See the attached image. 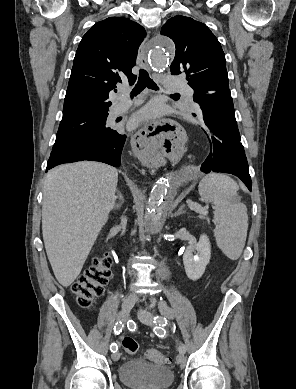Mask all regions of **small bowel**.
<instances>
[{
    "label": "small bowel",
    "mask_w": 296,
    "mask_h": 389,
    "mask_svg": "<svg viewBox=\"0 0 296 389\" xmlns=\"http://www.w3.org/2000/svg\"><path fill=\"white\" fill-rule=\"evenodd\" d=\"M161 308H162V311L164 312V313H167L168 312V307H167V304L166 303H162L161 304Z\"/></svg>",
    "instance_id": "small-bowel-1"
}]
</instances>
